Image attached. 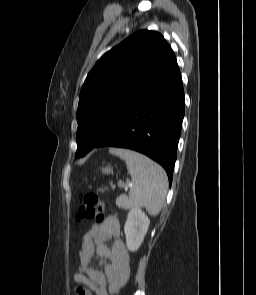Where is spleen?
I'll list each match as a JSON object with an SVG mask.
<instances>
[{"instance_id": "3e777b00", "label": "spleen", "mask_w": 256, "mask_h": 295, "mask_svg": "<svg viewBox=\"0 0 256 295\" xmlns=\"http://www.w3.org/2000/svg\"><path fill=\"white\" fill-rule=\"evenodd\" d=\"M110 153L125 160L132 178L129 198L116 199V205L124 209L145 207L150 215H157L165 202L168 178L165 170L148 157L124 149L111 148Z\"/></svg>"}]
</instances>
